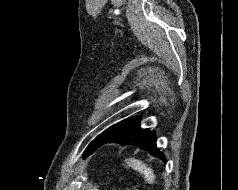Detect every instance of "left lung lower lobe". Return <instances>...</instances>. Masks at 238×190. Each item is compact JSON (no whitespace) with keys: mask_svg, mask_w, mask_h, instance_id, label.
Masks as SVG:
<instances>
[{"mask_svg":"<svg viewBox=\"0 0 238 190\" xmlns=\"http://www.w3.org/2000/svg\"><path fill=\"white\" fill-rule=\"evenodd\" d=\"M140 117H132L115 124L106 134L101 145L106 143H118L121 145H136L152 156L166 161L165 156L156 146L155 134L142 129L139 125Z\"/></svg>","mask_w":238,"mask_h":190,"instance_id":"left-lung-lower-lobe-1","label":"left lung lower lobe"}]
</instances>
